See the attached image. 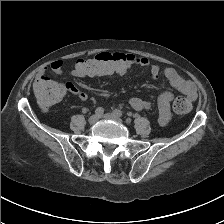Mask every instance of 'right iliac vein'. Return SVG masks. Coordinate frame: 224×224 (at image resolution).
<instances>
[{
	"mask_svg": "<svg viewBox=\"0 0 224 224\" xmlns=\"http://www.w3.org/2000/svg\"><path fill=\"white\" fill-rule=\"evenodd\" d=\"M99 120V116L97 115H92L90 118H89V123L90 124H95L97 121Z\"/></svg>",
	"mask_w": 224,
	"mask_h": 224,
	"instance_id": "right-iliac-vein-1",
	"label": "right iliac vein"
}]
</instances>
